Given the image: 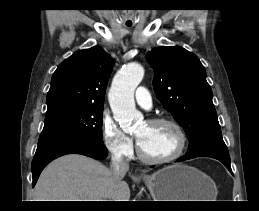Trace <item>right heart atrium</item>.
<instances>
[{"label": "right heart atrium", "mask_w": 259, "mask_h": 211, "mask_svg": "<svg viewBox=\"0 0 259 211\" xmlns=\"http://www.w3.org/2000/svg\"><path fill=\"white\" fill-rule=\"evenodd\" d=\"M101 130L104 146L114 157L128 158L132 155V139L106 114L101 119Z\"/></svg>", "instance_id": "1"}]
</instances>
